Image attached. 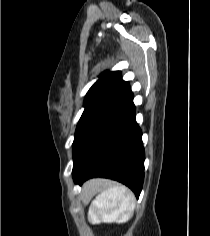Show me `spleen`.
Masks as SVG:
<instances>
[{
  "mask_svg": "<svg viewBox=\"0 0 210 236\" xmlns=\"http://www.w3.org/2000/svg\"><path fill=\"white\" fill-rule=\"evenodd\" d=\"M99 182H91L87 191L92 192ZM135 196L125 186H112L101 191L92 201L88 217L94 224L125 223L134 213Z\"/></svg>",
  "mask_w": 210,
  "mask_h": 236,
  "instance_id": "spleen-1",
  "label": "spleen"
}]
</instances>
